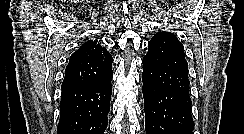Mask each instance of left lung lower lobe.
<instances>
[{
  "instance_id": "1",
  "label": "left lung lower lobe",
  "mask_w": 244,
  "mask_h": 134,
  "mask_svg": "<svg viewBox=\"0 0 244 134\" xmlns=\"http://www.w3.org/2000/svg\"><path fill=\"white\" fill-rule=\"evenodd\" d=\"M142 81L146 134H193L189 90L162 87L146 71Z\"/></svg>"
}]
</instances>
